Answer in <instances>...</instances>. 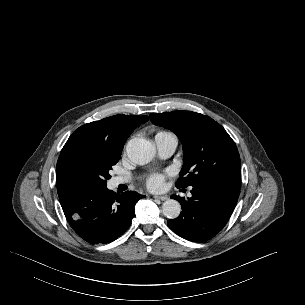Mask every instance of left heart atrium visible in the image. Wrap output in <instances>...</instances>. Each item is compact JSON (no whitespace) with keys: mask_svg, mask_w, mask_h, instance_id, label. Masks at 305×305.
Segmentation results:
<instances>
[{"mask_svg":"<svg viewBox=\"0 0 305 305\" xmlns=\"http://www.w3.org/2000/svg\"><path fill=\"white\" fill-rule=\"evenodd\" d=\"M165 176L162 174H153L146 180V185L153 191H159L164 187Z\"/></svg>","mask_w":305,"mask_h":305,"instance_id":"1","label":"left heart atrium"}]
</instances>
